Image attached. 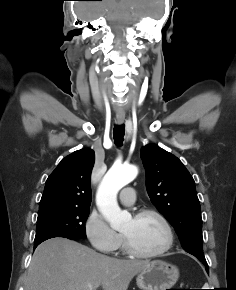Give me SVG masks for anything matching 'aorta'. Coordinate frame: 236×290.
Listing matches in <instances>:
<instances>
[{"label":"aorta","instance_id":"obj_1","mask_svg":"<svg viewBox=\"0 0 236 290\" xmlns=\"http://www.w3.org/2000/svg\"><path fill=\"white\" fill-rule=\"evenodd\" d=\"M138 170L132 165H114L102 179L96 194V204L106 221L114 230L122 229L131 215L122 211L117 202V194L124 186L132 182Z\"/></svg>","mask_w":236,"mask_h":290}]
</instances>
